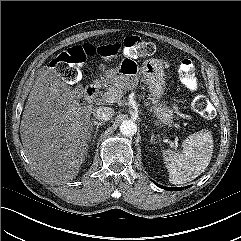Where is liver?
<instances>
[{
    "label": "liver",
    "mask_w": 241,
    "mask_h": 241,
    "mask_svg": "<svg viewBox=\"0 0 241 241\" xmlns=\"http://www.w3.org/2000/svg\"><path fill=\"white\" fill-rule=\"evenodd\" d=\"M80 92L47 66L29 93L20 124L25 154L46 182L75 178L85 161L93 105L80 104Z\"/></svg>",
    "instance_id": "1"
}]
</instances>
